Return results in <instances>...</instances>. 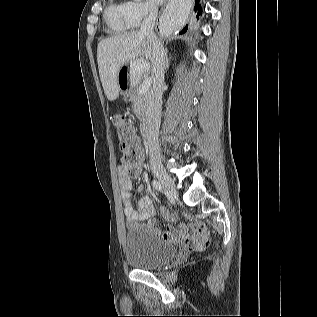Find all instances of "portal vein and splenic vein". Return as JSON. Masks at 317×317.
Masks as SVG:
<instances>
[{
    "mask_svg": "<svg viewBox=\"0 0 317 317\" xmlns=\"http://www.w3.org/2000/svg\"><path fill=\"white\" fill-rule=\"evenodd\" d=\"M138 69L142 70L143 68L146 67V64L144 62L140 63L138 66ZM151 86V80L150 79H146L145 81H143L142 85L140 86L139 92L140 93H145L149 90V87Z\"/></svg>",
    "mask_w": 317,
    "mask_h": 317,
    "instance_id": "18ae733b",
    "label": "portal vein and splenic vein"
}]
</instances>
